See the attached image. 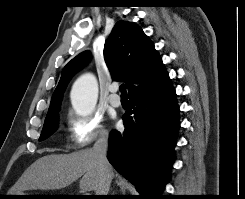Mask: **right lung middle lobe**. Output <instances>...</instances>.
I'll use <instances>...</instances> for the list:
<instances>
[{
	"instance_id": "right-lung-middle-lobe-1",
	"label": "right lung middle lobe",
	"mask_w": 245,
	"mask_h": 199,
	"mask_svg": "<svg viewBox=\"0 0 245 199\" xmlns=\"http://www.w3.org/2000/svg\"><path fill=\"white\" fill-rule=\"evenodd\" d=\"M58 112H59V110L52 113L51 115L46 116L39 141H42V140L48 138L50 135H52L57 130Z\"/></svg>"
}]
</instances>
